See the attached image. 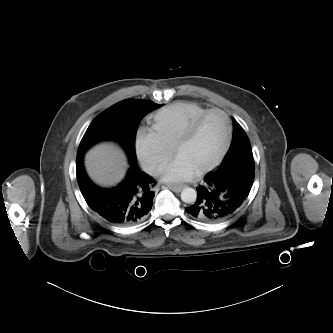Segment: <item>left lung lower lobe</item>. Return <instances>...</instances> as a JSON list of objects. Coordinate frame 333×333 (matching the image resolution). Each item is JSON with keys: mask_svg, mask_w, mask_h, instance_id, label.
Listing matches in <instances>:
<instances>
[{"mask_svg": "<svg viewBox=\"0 0 333 333\" xmlns=\"http://www.w3.org/2000/svg\"><path fill=\"white\" fill-rule=\"evenodd\" d=\"M254 181V165L235 163L207 174L197 187L196 202L185 210L196 220L222 221L235 213L248 197Z\"/></svg>", "mask_w": 333, "mask_h": 333, "instance_id": "left-lung-lower-lobe-1", "label": "left lung lower lobe"}]
</instances>
